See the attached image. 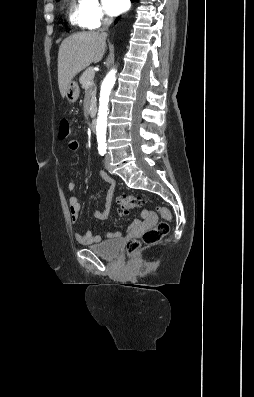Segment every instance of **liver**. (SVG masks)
I'll use <instances>...</instances> for the list:
<instances>
[{
    "mask_svg": "<svg viewBox=\"0 0 254 397\" xmlns=\"http://www.w3.org/2000/svg\"><path fill=\"white\" fill-rule=\"evenodd\" d=\"M105 51V39L95 31L73 34L62 41L58 52V85L62 97L70 81L90 64L101 61Z\"/></svg>",
    "mask_w": 254,
    "mask_h": 397,
    "instance_id": "liver-1",
    "label": "liver"
}]
</instances>
